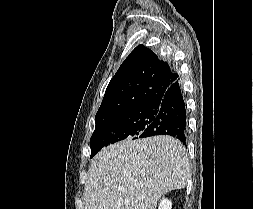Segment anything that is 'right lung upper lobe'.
Segmentation results:
<instances>
[{
	"label": "right lung upper lobe",
	"instance_id": "cb5924a9",
	"mask_svg": "<svg viewBox=\"0 0 253 209\" xmlns=\"http://www.w3.org/2000/svg\"><path fill=\"white\" fill-rule=\"evenodd\" d=\"M178 79L170 65L149 48L138 45L119 67L106 89L95 121L151 106Z\"/></svg>",
	"mask_w": 253,
	"mask_h": 209
}]
</instances>
